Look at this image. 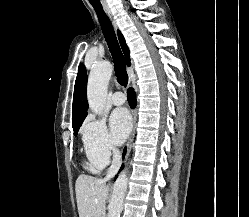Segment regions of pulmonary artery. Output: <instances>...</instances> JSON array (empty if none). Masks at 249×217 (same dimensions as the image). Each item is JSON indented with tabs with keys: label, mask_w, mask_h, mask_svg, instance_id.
<instances>
[{
	"label": "pulmonary artery",
	"mask_w": 249,
	"mask_h": 217,
	"mask_svg": "<svg viewBox=\"0 0 249 217\" xmlns=\"http://www.w3.org/2000/svg\"><path fill=\"white\" fill-rule=\"evenodd\" d=\"M125 95L122 92H115L112 96H111V102L114 105H122L125 103Z\"/></svg>",
	"instance_id": "obj_1"
}]
</instances>
